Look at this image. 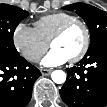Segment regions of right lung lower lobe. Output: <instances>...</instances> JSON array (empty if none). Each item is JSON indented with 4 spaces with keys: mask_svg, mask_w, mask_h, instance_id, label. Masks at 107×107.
Here are the masks:
<instances>
[{
    "mask_svg": "<svg viewBox=\"0 0 107 107\" xmlns=\"http://www.w3.org/2000/svg\"><path fill=\"white\" fill-rule=\"evenodd\" d=\"M40 71L23 57L0 54V107H26Z\"/></svg>",
    "mask_w": 107,
    "mask_h": 107,
    "instance_id": "obj_1",
    "label": "right lung lower lobe"
}]
</instances>
